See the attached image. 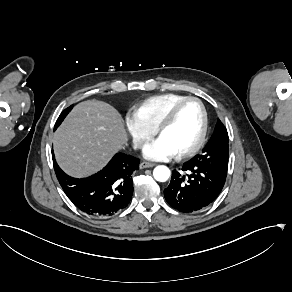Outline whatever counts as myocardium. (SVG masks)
Segmentation results:
<instances>
[{
    "instance_id": "1",
    "label": "myocardium",
    "mask_w": 292,
    "mask_h": 292,
    "mask_svg": "<svg viewBox=\"0 0 292 292\" xmlns=\"http://www.w3.org/2000/svg\"><path fill=\"white\" fill-rule=\"evenodd\" d=\"M187 102H196L198 104L201 112V122L199 133L196 140L188 148L179 151L178 154L180 156H188L197 152L203 144L207 131V112L202 101L196 97H185L178 100L166 110V112L163 114L156 127V133L158 135H161L162 131L166 128V126L174 119L179 108Z\"/></svg>"
}]
</instances>
